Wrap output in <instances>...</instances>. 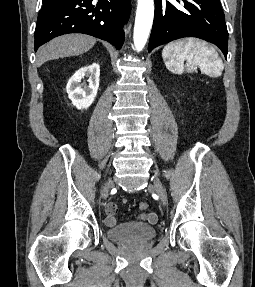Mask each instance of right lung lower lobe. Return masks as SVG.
I'll list each match as a JSON object with an SVG mask.
<instances>
[{
    "instance_id": "right-lung-lower-lobe-1",
    "label": "right lung lower lobe",
    "mask_w": 255,
    "mask_h": 287,
    "mask_svg": "<svg viewBox=\"0 0 255 287\" xmlns=\"http://www.w3.org/2000/svg\"><path fill=\"white\" fill-rule=\"evenodd\" d=\"M131 10L130 0H51L40 10L35 29V51L54 37L84 33L123 45V25Z\"/></svg>"
}]
</instances>
